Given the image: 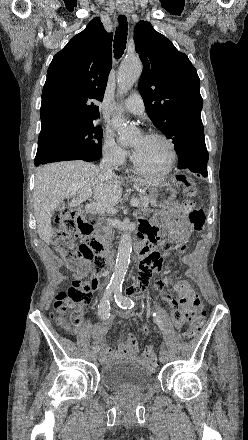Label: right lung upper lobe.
<instances>
[{
    "label": "right lung upper lobe",
    "instance_id": "right-lung-upper-lobe-1",
    "mask_svg": "<svg viewBox=\"0 0 248 440\" xmlns=\"http://www.w3.org/2000/svg\"><path fill=\"white\" fill-rule=\"evenodd\" d=\"M111 44L112 34L94 18L54 56L42 91L40 134L93 123L99 117L95 100H103L112 66Z\"/></svg>",
    "mask_w": 248,
    "mask_h": 440
}]
</instances>
